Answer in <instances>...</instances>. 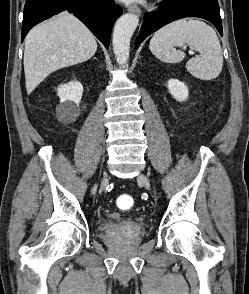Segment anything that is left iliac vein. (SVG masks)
<instances>
[{
    "label": "left iliac vein",
    "instance_id": "obj_1",
    "mask_svg": "<svg viewBox=\"0 0 249 294\" xmlns=\"http://www.w3.org/2000/svg\"><path fill=\"white\" fill-rule=\"evenodd\" d=\"M137 179L144 185L147 190H150V182L147 176H145L144 174H140Z\"/></svg>",
    "mask_w": 249,
    "mask_h": 294
}]
</instances>
